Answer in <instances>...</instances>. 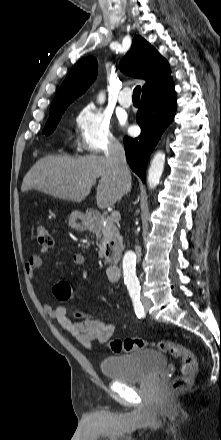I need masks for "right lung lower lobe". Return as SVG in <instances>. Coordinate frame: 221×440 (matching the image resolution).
<instances>
[{
	"instance_id": "obj_1",
	"label": "right lung lower lobe",
	"mask_w": 221,
	"mask_h": 440,
	"mask_svg": "<svg viewBox=\"0 0 221 440\" xmlns=\"http://www.w3.org/2000/svg\"><path fill=\"white\" fill-rule=\"evenodd\" d=\"M137 112L141 134L137 138L124 137V148L131 169L145 182L146 165L163 131L173 120L176 93L173 82L142 95Z\"/></svg>"
}]
</instances>
